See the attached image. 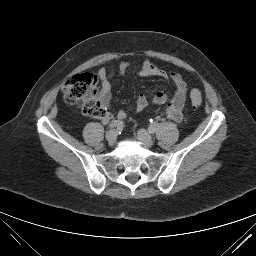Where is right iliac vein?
Instances as JSON below:
<instances>
[{
  "instance_id": "63e3f726",
  "label": "right iliac vein",
  "mask_w": 256,
  "mask_h": 256,
  "mask_svg": "<svg viewBox=\"0 0 256 256\" xmlns=\"http://www.w3.org/2000/svg\"><path fill=\"white\" fill-rule=\"evenodd\" d=\"M117 139V132L115 130H109L107 133H106V140L110 143V144H113L115 143Z\"/></svg>"
}]
</instances>
